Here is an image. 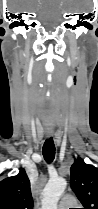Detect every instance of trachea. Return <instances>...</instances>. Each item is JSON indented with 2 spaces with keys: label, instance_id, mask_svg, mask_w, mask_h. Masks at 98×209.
Here are the masks:
<instances>
[{
  "label": "trachea",
  "instance_id": "1",
  "mask_svg": "<svg viewBox=\"0 0 98 209\" xmlns=\"http://www.w3.org/2000/svg\"><path fill=\"white\" fill-rule=\"evenodd\" d=\"M44 159L46 162L51 163L54 158H55V145L54 141L51 138L47 139L43 145V150H42Z\"/></svg>",
  "mask_w": 98,
  "mask_h": 209
}]
</instances>
